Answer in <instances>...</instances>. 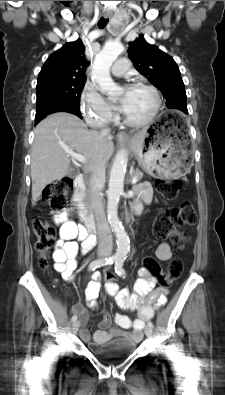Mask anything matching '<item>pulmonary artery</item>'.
<instances>
[{
    "label": "pulmonary artery",
    "instance_id": "pulmonary-artery-1",
    "mask_svg": "<svg viewBox=\"0 0 225 395\" xmlns=\"http://www.w3.org/2000/svg\"><path fill=\"white\" fill-rule=\"evenodd\" d=\"M129 68V61L126 58L118 59L111 68L114 76H122Z\"/></svg>",
    "mask_w": 225,
    "mask_h": 395
}]
</instances>
